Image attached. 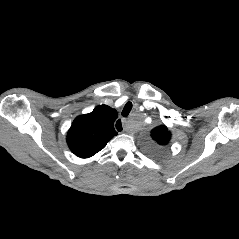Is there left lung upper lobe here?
Returning a JSON list of instances; mask_svg holds the SVG:
<instances>
[{
  "label": "left lung upper lobe",
  "instance_id": "left-lung-upper-lobe-1",
  "mask_svg": "<svg viewBox=\"0 0 239 239\" xmlns=\"http://www.w3.org/2000/svg\"><path fill=\"white\" fill-rule=\"evenodd\" d=\"M151 135L159 145H166L171 138L168 128L164 125L154 128Z\"/></svg>",
  "mask_w": 239,
  "mask_h": 239
}]
</instances>
